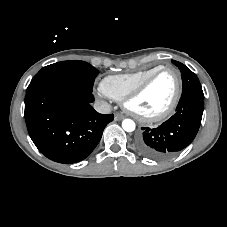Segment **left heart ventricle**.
I'll return each mask as SVG.
<instances>
[{"label":"left heart ventricle","mask_w":227,"mask_h":227,"mask_svg":"<svg viewBox=\"0 0 227 227\" xmlns=\"http://www.w3.org/2000/svg\"><path fill=\"white\" fill-rule=\"evenodd\" d=\"M176 88L175 73L166 71L155 78L147 89L131 102V108L145 116L156 115L168 107Z\"/></svg>","instance_id":"1"}]
</instances>
